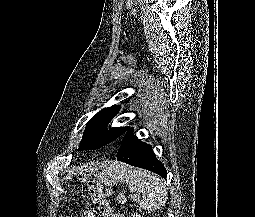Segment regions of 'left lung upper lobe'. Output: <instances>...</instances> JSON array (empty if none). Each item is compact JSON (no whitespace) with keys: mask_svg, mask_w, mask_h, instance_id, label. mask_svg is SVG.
I'll return each instance as SVG.
<instances>
[{"mask_svg":"<svg viewBox=\"0 0 255 217\" xmlns=\"http://www.w3.org/2000/svg\"><path fill=\"white\" fill-rule=\"evenodd\" d=\"M119 108H104L89 120L83 133L79 150H94L113 141L121 139L129 127H112L107 130L108 123L118 113Z\"/></svg>","mask_w":255,"mask_h":217,"instance_id":"5c2ea615","label":"left lung upper lobe"}]
</instances>
